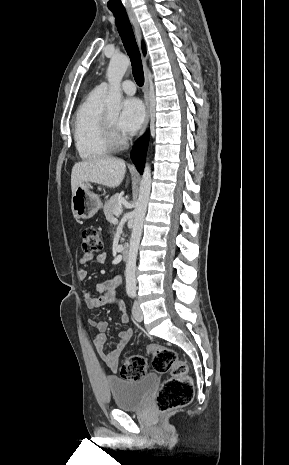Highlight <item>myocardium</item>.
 Segmentation results:
<instances>
[{"label": "myocardium", "instance_id": "1", "mask_svg": "<svg viewBox=\"0 0 289 465\" xmlns=\"http://www.w3.org/2000/svg\"><path fill=\"white\" fill-rule=\"evenodd\" d=\"M103 135L106 143L111 148H117L123 144V138L121 137L117 126L107 112H105L103 117Z\"/></svg>", "mask_w": 289, "mask_h": 465}]
</instances>
